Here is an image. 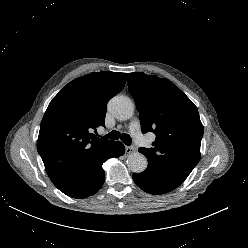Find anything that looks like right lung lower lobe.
Returning <instances> with one entry per match:
<instances>
[{
  "instance_id": "98d812e1",
  "label": "right lung lower lobe",
  "mask_w": 248,
  "mask_h": 248,
  "mask_svg": "<svg viewBox=\"0 0 248 248\" xmlns=\"http://www.w3.org/2000/svg\"><path fill=\"white\" fill-rule=\"evenodd\" d=\"M125 152V147L119 141H114L101 161L95 165L89 166L79 176H77L69 185L59 188L64 194L72 198H85L95 194L103 185L105 173L102 164L111 157H119Z\"/></svg>"
}]
</instances>
